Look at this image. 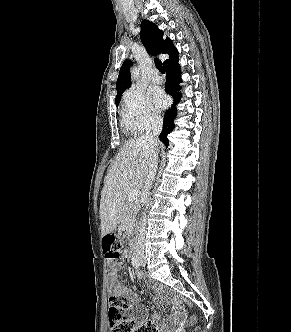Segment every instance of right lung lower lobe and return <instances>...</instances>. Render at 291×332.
Instances as JSON below:
<instances>
[{
  "label": "right lung lower lobe",
  "mask_w": 291,
  "mask_h": 332,
  "mask_svg": "<svg viewBox=\"0 0 291 332\" xmlns=\"http://www.w3.org/2000/svg\"><path fill=\"white\" fill-rule=\"evenodd\" d=\"M166 70V86L165 90L166 93L171 95L174 99V103L170 109L165 112L164 115V122H163V130L160 133V140L168 146V139L167 135L173 131L174 119L176 117L177 108L176 105L180 100L181 94L178 93L180 90V86L178 85L181 83L180 78V65L178 64V58L172 61L171 63L164 66Z\"/></svg>",
  "instance_id": "98d812e1"
}]
</instances>
